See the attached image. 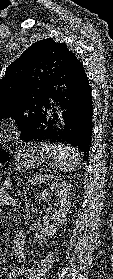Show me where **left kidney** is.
Here are the masks:
<instances>
[{"instance_id": "1", "label": "left kidney", "mask_w": 113, "mask_h": 279, "mask_svg": "<svg viewBox=\"0 0 113 279\" xmlns=\"http://www.w3.org/2000/svg\"><path fill=\"white\" fill-rule=\"evenodd\" d=\"M70 190L71 184L64 181H56L43 191L41 198L44 201H48L53 194H56L59 198V209L53 214V223L47 228H43L41 221L38 220L34 224L36 230L35 235L39 240V244H42L46 238L54 236L56 231L64 224L66 216L70 209Z\"/></svg>"}]
</instances>
